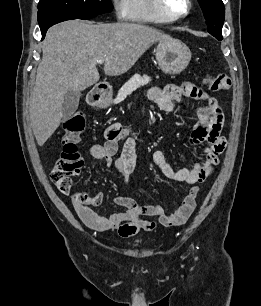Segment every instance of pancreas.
<instances>
[{"label":"pancreas","mask_w":261,"mask_h":306,"mask_svg":"<svg viewBox=\"0 0 261 306\" xmlns=\"http://www.w3.org/2000/svg\"><path fill=\"white\" fill-rule=\"evenodd\" d=\"M151 81V78L147 75L141 76L140 74L133 75L118 91L115 102H119L121 99L125 98L127 95L132 93L137 88H140Z\"/></svg>","instance_id":"obj_1"}]
</instances>
